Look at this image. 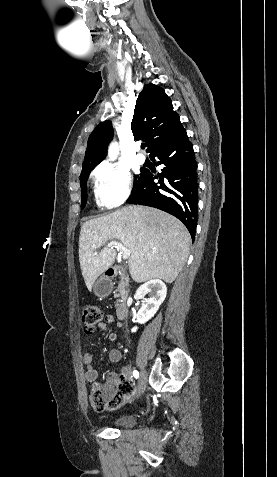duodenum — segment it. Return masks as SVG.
Listing matches in <instances>:
<instances>
[{
	"instance_id": "410a0bca",
	"label": "duodenum",
	"mask_w": 277,
	"mask_h": 477,
	"mask_svg": "<svg viewBox=\"0 0 277 477\" xmlns=\"http://www.w3.org/2000/svg\"><path fill=\"white\" fill-rule=\"evenodd\" d=\"M107 276L110 279L120 276L122 280L126 279L124 271L118 267H113L107 271ZM128 314V307L126 302H122L118 305L116 309V316L119 320H124Z\"/></svg>"
}]
</instances>
